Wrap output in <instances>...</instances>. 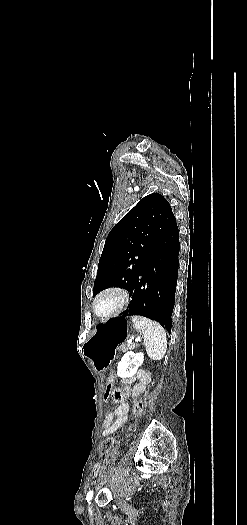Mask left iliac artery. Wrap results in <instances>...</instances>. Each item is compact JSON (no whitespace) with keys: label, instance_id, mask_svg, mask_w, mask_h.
I'll return each mask as SVG.
<instances>
[{"label":"left iliac artery","instance_id":"left-iliac-artery-1","mask_svg":"<svg viewBox=\"0 0 247 525\" xmlns=\"http://www.w3.org/2000/svg\"><path fill=\"white\" fill-rule=\"evenodd\" d=\"M92 497H93V490H90V491L87 493V495H86V500H87V502H88L89 504H90V501H91Z\"/></svg>","mask_w":247,"mask_h":525}]
</instances>
